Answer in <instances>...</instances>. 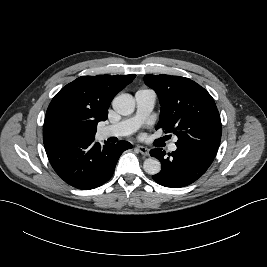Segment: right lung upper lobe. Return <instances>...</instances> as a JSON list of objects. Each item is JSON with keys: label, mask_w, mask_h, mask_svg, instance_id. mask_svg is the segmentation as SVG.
Instances as JSON below:
<instances>
[{"label": "right lung upper lobe", "mask_w": 267, "mask_h": 267, "mask_svg": "<svg viewBox=\"0 0 267 267\" xmlns=\"http://www.w3.org/2000/svg\"><path fill=\"white\" fill-rule=\"evenodd\" d=\"M135 77L82 76L64 86L53 97L47 109L43 141L67 140L69 129H74L78 134L72 141L94 139L97 123L107 119L112 99Z\"/></svg>", "instance_id": "right-lung-upper-lobe-1"}]
</instances>
